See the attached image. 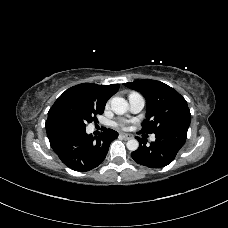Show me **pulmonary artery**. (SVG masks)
Wrapping results in <instances>:
<instances>
[{
    "label": "pulmonary artery",
    "mask_w": 228,
    "mask_h": 228,
    "mask_svg": "<svg viewBox=\"0 0 228 228\" xmlns=\"http://www.w3.org/2000/svg\"><path fill=\"white\" fill-rule=\"evenodd\" d=\"M129 108L132 113L140 112L145 106L144 97L137 92H132L128 95ZM151 140H155V136L151 137Z\"/></svg>",
    "instance_id": "obj_1"
}]
</instances>
